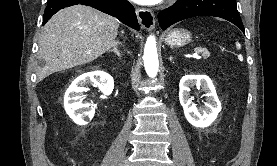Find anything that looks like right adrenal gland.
Returning a JSON list of instances; mask_svg holds the SVG:
<instances>
[{"instance_id": "obj_1", "label": "right adrenal gland", "mask_w": 277, "mask_h": 166, "mask_svg": "<svg viewBox=\"0 0 277 166\" xmlns=\"http://www.w3.org/2000/svg\"><path fill=\"white\" fill-rule=\"evenodd\" d=\"M118 45H119V43L116 42L115 45L112 47V49L109 50L108 52H113V53H115L118 57H121L120 51H119V49H118Z\"/></svg>"}]
</instances>
